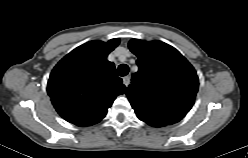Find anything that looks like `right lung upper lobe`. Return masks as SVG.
<instances>
[{"mask_svg":"<svg viewBox=\"0 0 248 158\" xmlns=\"http://www.w3.org/2000/svg\"><path fill=\"white\" fill-rule=\"evenodd\" d=\"M119 39L87 42L67 54L52 70L47 92L57 112L77 126L100 122L116 96L125 93L108 54Z\"/></svg>","mask_w":248,"mask_h":158,"instance_id":"1","label":"right lung upper lobe"}]
</instances>
